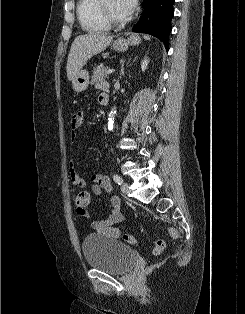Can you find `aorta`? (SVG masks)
<instances>
[{
	"instance_id": "1",
	"label": "aorta",
	"mask_w": 245,
	"mask_h": 314,
	"mask_svg": "<svg viewBox=\"0 0 245 314\" xmlns=\"http://www.w3.org/2000/svg\"><path fill=\"white\" fill-rule=\"evenodd\" d=\"M115 114H116V107H113L111 109V111L109 113V117H108V129L109 130H112V128H113Z\"/></svg>"
}]
</instances>
